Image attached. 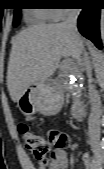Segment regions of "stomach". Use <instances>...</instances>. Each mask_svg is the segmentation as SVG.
<instances>
[{
    "instance_id": "obj_1",
    "label": "stomach",
    "mask_w": 104,
    "mask_h": 169,
    "mask_svg": "<svg viewBox=\"0 0 104 169\" xmlns=\"http://www.w3.org/2000/svg\"><path fill=\"white\" fill-rule=\"evenodd\" d=\"M63 105L61 89L52 81L31 83L17 101V107L27 117L35 113L54 115Z\"/></svg>"
}]
</instances>
